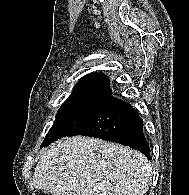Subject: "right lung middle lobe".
<instances>
[{
  "mask_svg": "<svg viewBox=\"0 0 189 195\" xmlns=\"http://www.w3.org/2000/svg\"><path fill=\"white\" fill-rule=\"evenodd\" d=\"M108 97L107 94L73 92L58 110L41 147L78 130Z\"/></svg>",
  "mask_w": 189,
  "mask_h": 195,
  "instance_id": "1",
  "label": "right lung middle lobe"
}]
</instances>
